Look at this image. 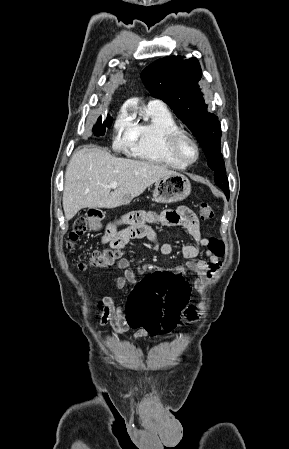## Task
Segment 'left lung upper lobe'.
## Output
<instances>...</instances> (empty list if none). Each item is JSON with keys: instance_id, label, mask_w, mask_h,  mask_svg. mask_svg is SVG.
<instances>
[{"instance_id": "5c2ea615", "label": "left lung upper lobe", "mask_w": 289, "mask_h": 449, "mask_svg": "<svg viewBox=\"0 0 289 449\" xmlns=\"http://www.w3.org/2000/svg\"><path fill=\"white\" fill-rule=\"evenodd\" d=\"M202 77L196 58L170 56L146 67L141 78L150 93L168 104L177 117L194 133L214 170L215 183L229 192L223 156L220 152L221 129L218 117L207 112L197 85Z\"/></svg>"}]
</instances>
